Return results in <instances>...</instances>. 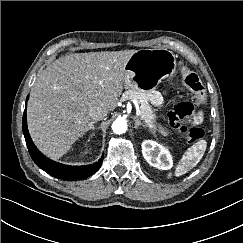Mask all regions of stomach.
I'll return each mask as SVG.
<instances>
[{"instance_id": "1", "label": "stomach", "mask_w": 243, "mask_h": 243, "mask_svg": "<svg viewBox=\"0 0 243 243\" xmlns=\"http://www.w3.org/2000/svg\"><path fill=\"white\" fill-rule=\"evenodd\" d=\"M176 71L175 55L164 48L137 50L125 66V86L131 89H154Z\"/></svg>"}]
</instances>
